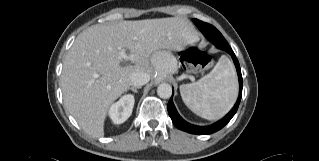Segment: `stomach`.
Returning <instances> with one entry per match:
<instances>
[{
	"instance_id": "0dacf381",
	"label": "stomach",
	"mask_w": 319,
	"mask_h": 161,
	"mask_svg": "<svg viewBox=\"0 0 319 161\" xmlns=\"http://www.w3.org/2000/svg\"><path fill=\"white\" fill-rule=\"evenodd\" d=\"M152 60L162 76L172 75L177 72V59L169 50L160 49L156 51L153 54Z\"/></svg>"
}]
</instances>
